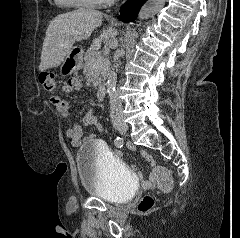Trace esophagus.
Wrapping results in <instances>:
<instances>
[{
  "instance_id": "1",
  "label": "esophagus",
  "mask_w": 240,
  "mask_h": 238,
  "mask_svg": "<svg viewBox=\"0 0 240 238\" xmlns=\"http://www.w3.org/2000/svg\"><path fill=\"white\" fill-rule=\"evenodd\" d=\"M125 2H126V0H122L121 4H123V3H125Z\"/></svg>"
}]
</instances>
